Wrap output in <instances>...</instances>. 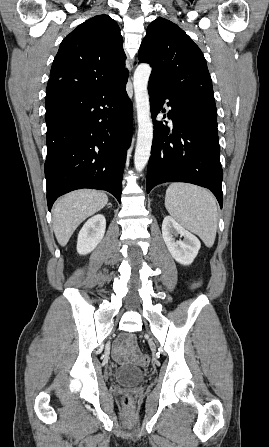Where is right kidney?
Here are the masks:
<instances>
[{
  "instance_id": "right-kidney-1",
  "label": "right kidney",
  "mask_w": 269,
  "mask_h": 447,
  "mask_svg": "<svg viewBox=\"0 0 269 447\" xmlns=\"http://www.w3.org/2000/svg\"><path fill=\"white\" fill-rule=\"evenodd\" d=\"M106 220L102 214L93 216L87 220L86 224L81 227L78 233L77 251L81 255L90 253L98 245L99 241L103 239L105 233Z\"/></svg>"
}]
</instances>
